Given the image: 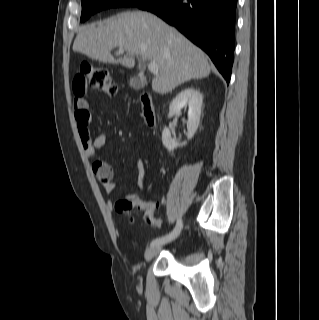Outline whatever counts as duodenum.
I'll list each match as a JSON object with an SVG mask.
<instances>
[{"label":"duodenum","mask_w":319,"mask_h":320,"mask_svg":"<svg viewBox=\"0 0 319 320\" xmlns=\"http://www.w3.org/2000/svg\"><path fill=\"white\" fill-rule=\"evenodd\" d=\"M141 103L143 107V116L145 118L146 123L150 127L155 126V113L152 106V100L148 93H144L141 96Z\"/></svg>","instance_id":"obj_1"}]
</instances>
